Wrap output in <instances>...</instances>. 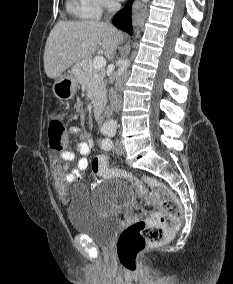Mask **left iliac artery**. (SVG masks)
<instances>
[{"label": "left iliac artery", "mask_w": 233, "mask_h": 284, "mask_svg": "<svg viewBox=\"0 0 233 284\" xmlns=\"http://www.w3.org/2000/svg\"><path fill=\"white\" fill-rule=\"evenodd\" d=\"M102 132L108 136L102 141V148L105 150H110L113 147V142L111 140L112 137L115 136L116 131L114 129H104Z\"/></svg>", "instance_id": "left-iliac-artery-1"}]
</instances>
